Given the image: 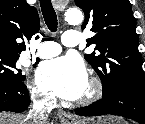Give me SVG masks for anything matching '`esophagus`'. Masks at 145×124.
I'll return each mask as SVG.
<instances>
[{"instance_id":"obj_1","label":"esophagus","mask_w":145,"mask_h":124,"mask_svg":"<svg viewBox=\"0 0 145 124\" xmlns=\"http://www.w3.org/2000/svg\"><path fill=\"white\" fill-rule=\"evenodd\" d=\"M59 118L63 124H73L76 118L68 112L62 111L59 113Z\"/></svg>"}]
</instances>
